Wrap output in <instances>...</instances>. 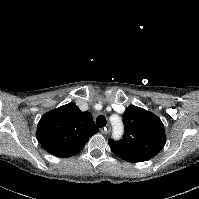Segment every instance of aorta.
I'll return each mask as SVG.
<instances>
[{
	"label": "aorta",
	"instance_id": "aorta-1",
	"mask_svg": "<svg viewBox=\"0 0 199 199\" xmlns=\"http://www.w3.org/2000/svg\"><path fill=\"white\" fill-rule=\"evenodd\" d=\"M112 127H113V138L119 139L123 134V123L121 118L117 115L111 117Z\"/></svg>",
	"mask_w": 199,
	"mask_h": 199
}]
</instances>
